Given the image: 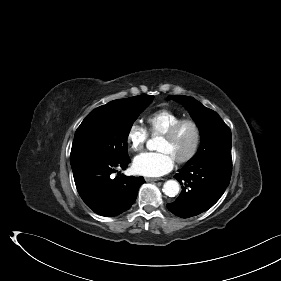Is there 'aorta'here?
Listing matches in <instances>:
<instances>
[{
	"label": "aorta",
	"mask_w": 281,
	"mask_h": 281,
	"mask_svg": "<svg viewBox=\"0 0 281 281\" xmlns=\"http://www.w3.org/2000/svg\"><path fill=\"white\" fill-rule=\"evenodd\" d=\"M153 140L147 142V148L153 149ZM180 185L175 180H168L163 185V192L169 197H175L179 193Z\"/></svg>",
	"instance_id": "762f6f07"
}]
</instances>
